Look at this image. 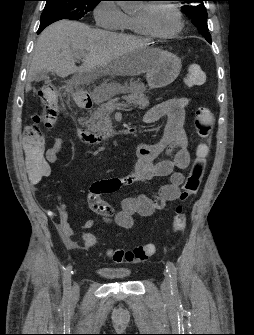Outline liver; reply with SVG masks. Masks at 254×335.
I'll use <instances>...</instances> for the list:
<instances>
[{
  "instance_id": "obj_1",
  "label": "liver",
  "mask_w": 254,
  "mask_h": 335,
  "mask_svg": "<svg viewBox=\"0 0 254 335\" xmlns=\"http://www.w3.org/2000/svg\"><path fill=\"white\" fill-rule=\"evenodd\" d=\"M148 45V41L135 36L70 20L57 21L37 39L26 89H31V81L40 72L50 71L62 78L75 74L85 84L102 75L146 73L154 63ZM77 53L85 55L79 67L74 60Z\"/></svg>"
}]
</instances>
